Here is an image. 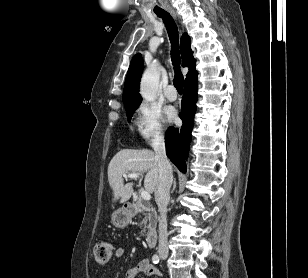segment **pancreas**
Here are the masks:
<instances>
[{
	"label": "pancreas",
	"instance_id": "cf45deb5",
	"mask_svg": "<svg viewBox=\"0 0 308 278\" xmlns=\"http://www.w3.org/2000/svg\"><path fill=\"white\" fill-rule=\"evenodd\" d=\"M136 208H142L145 209L147 206L140 200L137 201L135 204ZM144 218L141 222V225L143 226V232L146 231V229L153 231L156 227V213L154 209H150L147 213L143 212Z\"/></svg>",
	"mask_w": 308,
	"mask_h": 278
}]
</instances>
